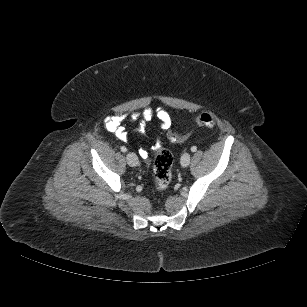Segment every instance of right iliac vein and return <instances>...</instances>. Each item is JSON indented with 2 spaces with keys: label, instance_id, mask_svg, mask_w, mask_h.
<instances>
[{
  "label": "right iliac vein",
  "instance_id": "63e3f726",
  "mask_svg": "<svg viewBox=\"0 0 307 307\" xmlns=\"http://www.w3.org/2000/svg\"><path fill=\"white\" fill-rule=\"evenodd\" d=\"M126 160L127 163L132 167H136L138 165V158L134 153H127Z\"/></svg>",
  "mask_w": 307,
  "mask_h": 307
}]
</instances>
